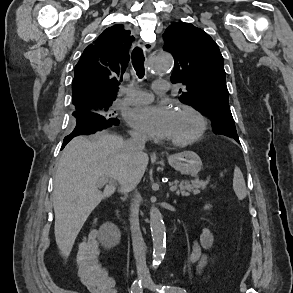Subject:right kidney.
<instances>
[{"mask_svg": "<svg viewBox=\"0 0 293 293\" xmlns=\"http://www.w3.org/2000/svg\"><path fill=\"white\" fill-rule=\"evenodd\" d=\"M120 237V232L117 228L114 226H106L102 243L106 248H111L119 244Z\"/></svg>", "mask_w": 293, "mask_h": 293, "instance_id": "1", "label": "right kidney"}]
</instances>
